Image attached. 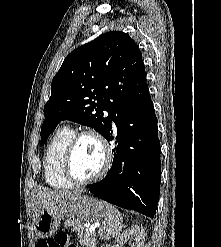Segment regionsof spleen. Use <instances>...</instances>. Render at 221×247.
I'll use <instances>...</instances> for the list:
<instances>
[{"label": "spleen", "mask_w": 221, "mask_h": 247, "mask_svg": "<svg viewBox=\"0 0 221 247\" xmlns=\"http://www.w3.org/2000/svg\"><path fill=\"white\" fill-rule=\"evenodd\" d=\"M122 215L113 206L107 204V215L99 234L104 239L119 236L122 229Z\"/></svg>", "instance_id": "obj_1"}]
</instances>
